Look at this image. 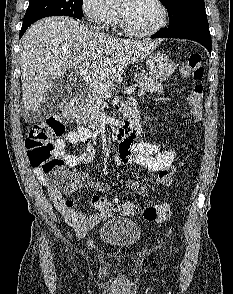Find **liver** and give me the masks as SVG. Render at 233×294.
<instances>
[{
  "label": "liver",
  "instance_id": "1",
  "mask_svg": "<svg viewBox=\"0 0 233 294\" xmlns=\"http://www.w3.org/2000/svg\"><path fill=\"white\" fill-rule=\"evenodd\" d=\"M160 40H123L69 17L33 24L21 39L20 66L25 113L41 106L50 85L68 69L91 62L95 76L108 80L152 53Z\"/></svg>",
  "mask_w": 233,
  "mask_h": 294
}]
</instances>
